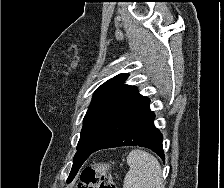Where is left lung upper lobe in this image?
<instances>
[{
  "mask_svg": "<svg viewBox=\"0 0 224 188\" xmlns=\"http://www.w3.org/2000/svg\"><path fill=\"white\" fill-rule=\"evenodd\" d=\"M127 77L128 74H119L95 91L83 120V128L73 161H82L88 153L94 150L115 126L122 114L142 97L137 93V88L124 85ZM77 167L75 166L71 172L76 171Z\"/></svg>",
  "mask_w": 224,
  "mask_h": 188,
  "instance_id": "5c2ea615",
  "label": "left lung upper lobe"
}]
</instances>
